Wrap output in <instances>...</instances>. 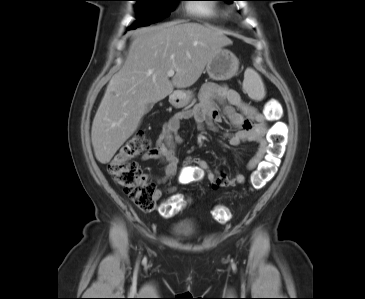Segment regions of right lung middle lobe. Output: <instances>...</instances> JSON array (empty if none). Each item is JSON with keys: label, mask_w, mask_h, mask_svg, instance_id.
<instances>
[{"label": "right lung middle lobe", "mask_w": 365, "mask_h": 299, "mask_svg": "<svg viewBox=\"0 0 365 299\" xmlns=\"http://www.w3.org/2000/svg\"><path fill=\"white\" fill-rule=\"evenodd\" d=\"M138 20L130 27L135 29L140 26L150 25L168 16L179 0H135Z\"/></svg>", "instance_id": "dd1d6c3e"}]
</instances>
